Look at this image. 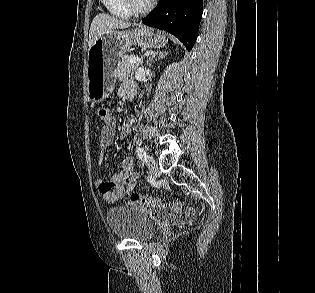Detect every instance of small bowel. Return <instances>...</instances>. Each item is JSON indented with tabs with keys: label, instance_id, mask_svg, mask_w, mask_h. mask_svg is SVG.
Instances as JSON below:
<instances>
[{
	"label": "small bowel",
	"instance_id": "1",
	"mask_svg": "<svg viewBox=\"0 0 315 293\" xmlns=\"http://www.w3.org/2000/svg\"><path fill=\"white\" fill-rule=\"evenodd\" d=\"M135 93V85L131 81L123 83L119 90V95L129 97ZM135 123L134 117H129L123 124L120 130V138L124 139L127 137L132 130L133 124ZM116 130V119L113 115H109L108 120L103 124L99 153L98 163L103 162L104 156L108 147L113 143ZM138 178V173L134 170V162L131 157H126L121 162V170L114 174L110 181L96 180L95 186L101 199L107 204H114L119 200L123 199L128 192L134 187ZM153 218L158 220H175L174 215L171 211H153Z\"/></svg>",
	"mask_w": 315,
	"mask_h": 293
}]
</instances>
